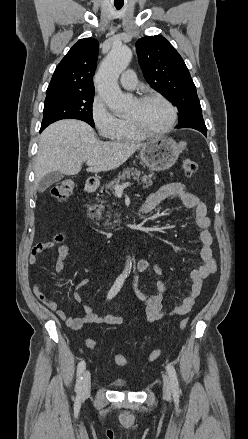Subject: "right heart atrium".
Returning a JSON list of instances; mask_svg holds the SVG:
<instances>
[{
    "label": "right heart atrium",
    "mask_w": 248,
    "mask_h": 439,
    "mask_svg": "<svg viewBox=\"0 0 248 439\" xmlns=\"http://www.w3.org/2000/svg\"><path fill=\"white\" fill-rule=\"evenodd\" d=\"M91 118L99 135L110 139L120 126V119L111 112L107 103L100 96H95L91 104Z\"/></svg>",
    "instance_id": "obj_1"
}]
</instances>
